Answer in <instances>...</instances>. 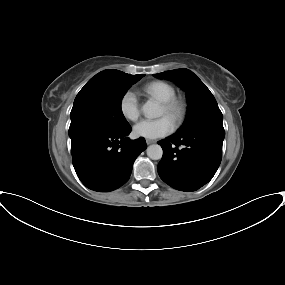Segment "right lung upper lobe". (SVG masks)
<instances>
[{"label":"right lung upper lobe","mask_w":285,"mask_h":285,"mask_svg":"<svg viewBox=\"0 0 285 285\" xmlns=\"http://www.w3.org/2000/svg\"><path fill=\"white\" fill-rule=\"evenodd\" d=\"M120 72L121 71H119V70H111V69H109V70H104V71L98 73L97 75H95V77L104 76V75H113V74H118Z\"/></svg>","instance_id":"obj_1"}]
</instances>
